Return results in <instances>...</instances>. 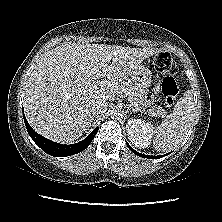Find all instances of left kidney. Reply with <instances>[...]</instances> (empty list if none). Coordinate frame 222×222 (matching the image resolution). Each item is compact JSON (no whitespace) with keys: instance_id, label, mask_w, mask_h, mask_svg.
Instances as JSON below:
<instances>
[{"instance_id":"left-kidney-1","label":"left kidney","mask_w":222,"mask_h":222,"mask_svg":"<svg viewBox=\"0 0 222 222\" xmlns=\"http://www.w3.org/2000/svg\"><path fill=\"white\" fill-rule=\"evenodd\" d=\"M129 140L138 148H147L154 134L151 123L142 119L131 118L126 125Z\"/></svg>"}]
</instances>
